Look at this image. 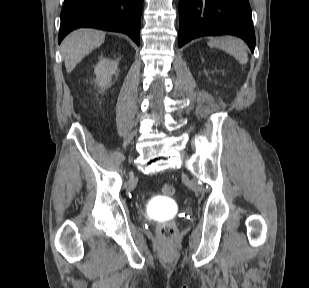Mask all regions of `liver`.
Returning <instances> with one entry per match:
<instances>
[{
	"label": "liver",
	"instance_id": "6515ba94",
	"mask_svg": "<svg viewBox=\"0 0 309 288\" xmlns=\"http://www.w3.org/2000/svg\"><path fill=\"white\" fill-rule=\"evenodd\" d=\"M105 33L94 29H79L68 35L62 43L67 73H71L76 65L91 51L103 44Z\"/></svg>",
	"mask_w": 309,
	"mask_h": 288
}]
</instances>
